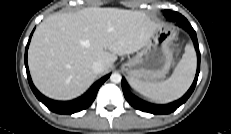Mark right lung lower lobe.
I'll list each match as a JSON object with an SVG mask.
<instances>
[{"label": "right lung lower lobe", "mask_w": 231, "mask_h": 134, "mask_svg": "<svg viewBox=\"0 0 231 134\" xmlns=\"http://www.w3.org/2000/svg\"><path fill=\"white\" fill-rule=\"evenodd\" d=\"M32 34L30 35V38H29V41H28V44L25 50V66H26L29 85L32 91L34 92L35 96L38 98V100H40L45 106H47L49 110L55 113H59V114H72V113L79 112L81 110L88 108L94 101L100 86L109 78L110 75H106L105 77L101 78L89 89V91L86 94L79 97L78 99L67 101V102H61V101H54V100H50L46 98L35 88V86L32 83L30 74H29V69H28V64H27V50L29 47Z\"/></svg>", "instance_id": "1"}]
</instances>
